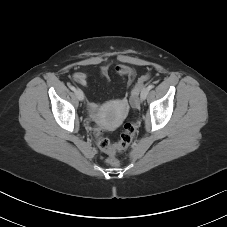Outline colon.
I'll return each instance as SVG.
<instances>
[{"label":"colon","instance_id":"5ec220e1","mask_svg":"<svg viewBox=\"0 0 227 227\" xmlns=\"http://www.w3.org/2000/svg\"><path fill=\"white\" fill-rule=\"evenodd\" d=\"M150 79L149 74L141 76L134 87L131 97L132 99L143 87V85ZM136 132V126L134 123H126L123 127V131L120 135V139L117 143L112 144L108 138L104 137L100 131L95 132L98 147L108 154L107 163L111 166H119L120 160L117 158V153L126 149L132 142Z\"/></svg>","mask_w":227,"mask_h":227}]
</instances>
